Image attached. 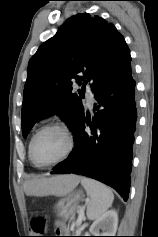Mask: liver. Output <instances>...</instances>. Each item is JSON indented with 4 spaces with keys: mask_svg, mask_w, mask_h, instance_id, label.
Here are the masks:
<instances>
[{
    "mask_svg": "<svg viewBox=\"0 0 158 237\" xmlns=\"http://www.w3.org/2000/svg\"><path fill=\"white\" fill-rule=\"evenodd\" d=\"M81 177L77 175H58L50 178H34L24 182V191L27 195L47 196L61 195L77 186Z\"/></svg>",
    "mask_w": 158,
    "mask_h": 237,
    "instance_id": "1",
    "label": "liver"
}]
</instances>
